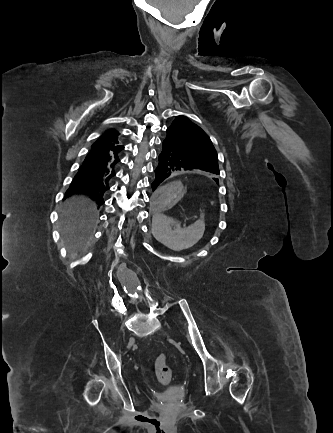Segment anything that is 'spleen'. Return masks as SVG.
Returning a JSON list of instances; mask_svg holds the SVG:
<instances>
[{
    "instance_id": "1",
    "label": "spleen",
    "mask_w": 333,
    "mask_h": 433,
    "mask_svg": "<svg viewBox=\"0 0 333 433\" xmlns=\"http://www.w3.org/2000/svg\"><path fill=\"white\" fill-rule=\"evenodd\" d=\"M176 221L166 215L153 212L151 232L155 239L166 247L180 251L190 248L203 236L205 223L203 218L186 228L176 224Z\"/></svg>"
}]
</instances>
